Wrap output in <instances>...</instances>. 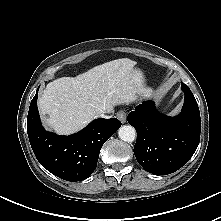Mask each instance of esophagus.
Returning <instances> with one entry per match:
<instances>
[{
  "instance_id": "esophagus-1",
  "label": "esophagus",
  "mask_w": 221,
  "mask_h": 221,
  "mask_svg": "<svg viewBox=\"0 0 221 221\" xmlns=\"http://www.w3.org/2000/svg\"><path fill=\"white\" fill-rule=\"evenodd\" d=\"M116 117L121 121V123L126 122V112L124 110H120L117 112Z\"/></svg>"
}]
</instances>
